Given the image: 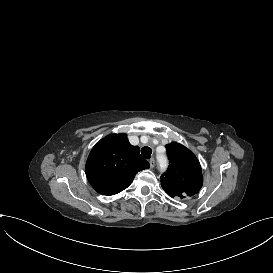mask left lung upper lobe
<instances>
[{
	"label": "left lung upper lobe",
	"instance_id": "5c2ea615",
	"mask_svg": "<svg viewBox=\"0 0 273 273\" xmlns=\"http://www.w3.org/2000/svg\"><path fill=\"white\" fill-rule=\"evenodd\" d=\"M165 147L170 164L160 177L162 188L169 196L181 199L198 193L203 184V176L196 156L176 142Z\"/></svg>",
	"mask_w": 273,
	"mask_h": 273
}]
</instances>
